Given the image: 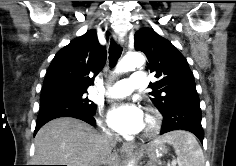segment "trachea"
<instances>
[{"instance_id":"trachea-1","label":"trachea","mask_w":236,"mask_h":166,"mask_svg":"<svg viewBox=\"0 0 236 166\" xmlns=\"http://www.w3.org/2000/svg\"><path fill=\"white\" fill-rule=\"evenodd\" d=\"M121 53V47L117 45L114 41H112L109 48V65L111 68L116 65L118 59L121 56Z\"/></svg>"}]
</instances>
